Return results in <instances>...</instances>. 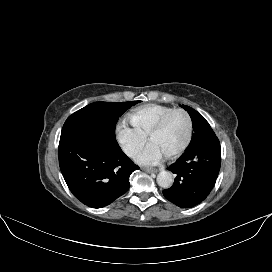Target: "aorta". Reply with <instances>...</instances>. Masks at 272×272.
<instances>
[{
    "instance_id": "obj_1",
    "label": "aorta",
    "mask_w": 272,
    "mask_h": 272,
    "mask_svg": "<svg viewBox=\"0 0 272 272\" xmlns=\"http://www.w3.org/2000/svg\"><path fill=\"white\" fill-rule=\"evenodd\" d=\"M157 184L162 188H170L173 184V176L170 172L162 171L157 175Z\"/></svg>"
}]
</instances>
